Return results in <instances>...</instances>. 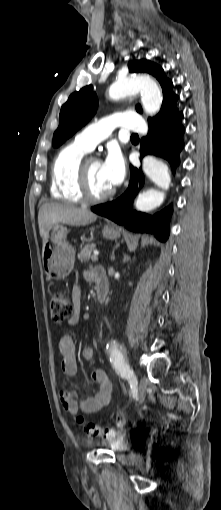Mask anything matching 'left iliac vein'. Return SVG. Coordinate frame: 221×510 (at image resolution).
Wrapping results in <instances>:
<instances>
[{
    "label": "left iliac vein",
    "instance_id": "left-iliac-vein-1",
    "mask_svg": "<svg viewBox=\"0 0 221 510\" xmlns=\"http://www.w3.org/2000/svg\"><path fill=\"white\" fill-rule=\"evenodd\" d=\"M147 381L145 378H141L138 386V398L139 403H142L146 396Z\"/></svg>",
    "mask_w": 221,
    "mask_h": 510
}]
</instances>
